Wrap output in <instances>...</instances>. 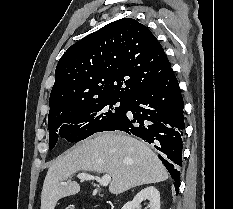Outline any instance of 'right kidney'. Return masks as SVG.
<instances>
[{"label": "right kidney", "instance_id": "obj_1", "mask_svg": "<svg viewBox=\"0 0 233 209\" xmlns=\"http://www.w3.org/2000/svg\"><path fill=\"white\" fill-rule=\"evenodd\" d=\"M148 200L149 209H160V194L154 186H149L141 190L131 202L126 203L122 209H139L141 202Z\"/></svg>", "mask_w": 233, "mask_h": 209}]
</instances>
